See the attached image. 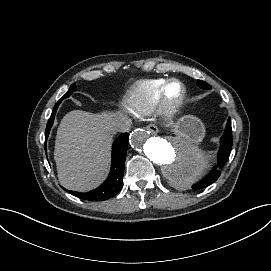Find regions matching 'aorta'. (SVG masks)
<instances>
[{
	"label": "aorta",
	"mask_w": 271,
	"mask_h": 271,
	"mask_svg": "<svg viewBox=\"0 0 271 271\" xmlns=\"http://www.w3.org/2000/svg\"><path fill=\"white\" fill-rule=\"evenodd\" d=\"M130 143L159 166L164 177L175 184L192 182L204 167L198 144L183 135L163 139L151 136L145 129H136Z\"/></svg>",
	"instance_id": "1"
}]
</instances>
